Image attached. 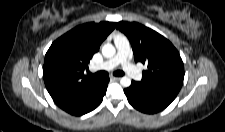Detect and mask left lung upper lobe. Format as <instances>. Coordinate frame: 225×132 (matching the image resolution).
I'll use <instances>...</instances> for the list:
<instances>
[{
	"label": "left lung upper lobe",
	"mask_w": 225,
	"mask_h": 132,
	"mask_svg": "<svg viewBox=\"0 0 225 132\" xmlns=\"http://www.w3.org/2000/svg\"><path fill=\"white\" fill-rule=\"evenodd\" d=\"M116 27L128 37L135 61L147 67L140 83L179 92L184 79V65L170 41L136 22L121 21Z\"/></svg>",
	"instance_id": "1"
}]
</instances>
